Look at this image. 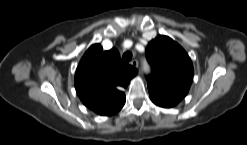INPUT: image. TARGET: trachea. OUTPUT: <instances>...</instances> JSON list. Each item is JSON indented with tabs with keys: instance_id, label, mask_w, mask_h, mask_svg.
Segmentation results:
<instances>
[{
	"instance_id": "obj_1",
	"label": "trachea",
	"mask_w": 247,
	"mask_h": 145,
	"mask_svg": "<svg viewBox=\"0 0 247 145\" xmlns=\"http://www.w3.org/2000/svg\"><path fill=\"white\" fill-rule=\"evenodd\" d=\"M131 59H132V53L129 52V51L124 53L123 56H122V61L125 62V63L131 61Z\"/></svg>"
}]
</instances>
